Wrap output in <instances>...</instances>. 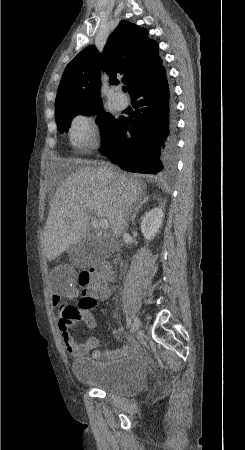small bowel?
<instances>
[{
  "label": "small bowel",
  "mask_w": 245,
  "mask_h": 450,
  "mask_svg": "<svg viewBox=\"0 0 245 450\" xmlns=\"http://www.w3.org/2000/svg\"><path fill=\"white\" fill-rule=\"evenodd\" d=\"M113 288L106 285L104 287H100L95 285L92 289V298L95 301L97 300H104L107 299L108 297H110V295L112 294ZM76 295V292H70L67 297H74ZM62 296L61 295H52L50 297V304L51 306H58L61 301H62ZM92 309L90 310H80V315H81V321L84 322L86 324L87 327L91 328V329H96L97 327V323L96 320L92 314ZM59 330H60V334H61V338L62 341L66 347V350L68 353H70L71 355L74 356H81V355H85L88 354L90 352H92L94 357H100L104 354H108V352H104L101 350H97V347L99 345V339L95 336L89 337L87 338L84 342L78 344L73 337L70 334V327L64 323H62L61 320H59ZM114 332H116V330H113ZM129 350L128 346H124L120 349L114 350L113 352H111V354L113 355H122L125 352H127Z\"/></svg>",
  "instance_id": "obj_1"
}]
</instances>
